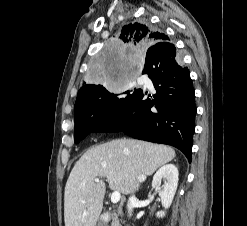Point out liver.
Wrapping results in <instances>:
<instances>
[{
	"label": "liver",
	"mask_w": 247,
	"mask_h": 226,
	"mask_svg": "<svg viewBox=\"0 0 247 226\" xmlns=\"http://www.w3.org/2000/svg\"><path fill=\"white\" fill-rule=\"evenodd\" d=\"M174 157L171 147L135 139L91 147L76 162L65 186V226H96L106 192L104 178L111 190L127 195Z\"/></svg>",
	"instance_id": "6515ba94"
}]
</instances>
